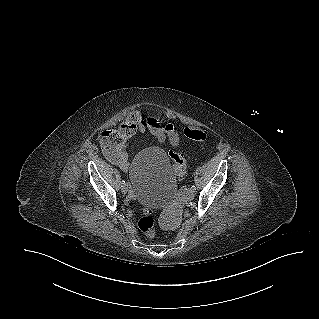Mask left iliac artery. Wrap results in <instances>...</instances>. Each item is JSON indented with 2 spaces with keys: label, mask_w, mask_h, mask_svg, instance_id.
<instances>
[{
  "label": "left iliac artery",
  "mask_w": 319,
  "mask_h": 319,
  "mask_svg": "<svg viewBox=\"0 0 319 319\" xmlns=\"http://www.w3.org/2000/svg\"><path fill=\"white\" fill-rule=\"evenodd\" d=\"M190 189L196 190V187L194 185H192Z\"/></svg>",
  "instance_id": "obj_1"
}]
</instances>
